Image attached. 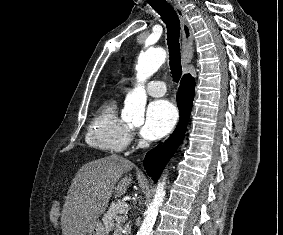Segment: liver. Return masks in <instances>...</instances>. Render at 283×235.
<instances>
[{"instance_id":"6515ba94","label":"liver","mask_w":283,"mask_h":235,"mask_svg":"<svg viewBox=\"0 0 283 235\" xmlns=\"http://www.w3.org/2000/svg\"><path fill=\"white\" fill-rule=\"evenodd\" d=\"M133 167L130 160L115 154L84 164L66 196L61 215L62 234L86 235L106 210L114 189L115 197L126 192L132 175L120 178Z\"/></svg>"}]
</instances>
